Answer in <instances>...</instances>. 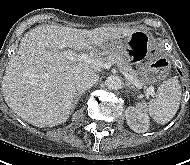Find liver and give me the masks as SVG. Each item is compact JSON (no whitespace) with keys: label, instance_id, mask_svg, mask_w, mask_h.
<instances>
[{"label":"liver","instance_id":"liver-1","mask_svg":"<svg viewBox=\"0 0 190 165\" xmlns=\"http://www.w3.org/2000/svg\"><path fill=\"white\" fill-rule=\"evenodd\" d=\"M134 32L133 28L123 27L86 30L58 25L28 31L6 67L2 81L5 102L20 118L37 127L66 122L76 91V77L93 71V66L68 60L65 49L99 48L110 39H121Z\"/></svg>","mask_w":190,"mask_h":165}]
</instances>
